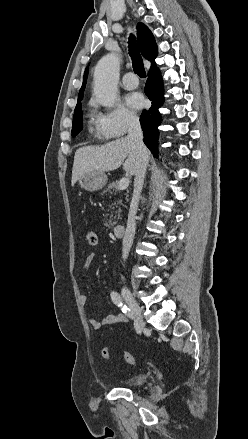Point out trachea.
Wrapping results in <instances>:
<instances>
[{
    "label": "trachea",
    "mask_w": 248,
    "mask_h": 439,
    "mask_svg": "<svg viewBox=\"0 0 248 439\" xmlns=\"http://www.w3.org/2000/svg\"><path fill=\"white\" fill-rule=\"evenodd\" d=\"M129 54L131 56L132 59V63H133V69L135 71V73L141 77V78H145L146 77V72H145V68L143 65V61L142 58L140 56L137 44L135 42V38L133 35H131L129 37Z\"/></svg>",
    "instance_id": "1"
}]
</instances>
